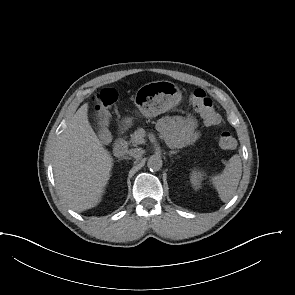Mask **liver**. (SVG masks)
Wrapping results in <instances>:
<instances>
[{
	"label": "liver",
	"mask_w": 295,
	"mask_h": 295,
	"mask_svg": "<svg viewBox=\"0 0 295 295\" xmlns=\"http://www.w3.org/2000/svg\"><path fill=\"white\" fill-rule=\"evenodd\" d=\"M112 166V156L88 121L85 103L71 117L54 149L53 172L60 196L76 212L97 206Z\"/></svg>",
	"instance_id": "liver-1"
}]
</instances>
